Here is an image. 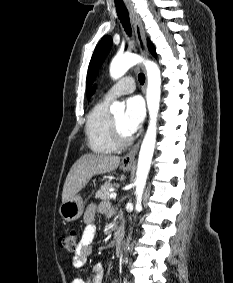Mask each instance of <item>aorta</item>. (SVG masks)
Returning <instances> with one entry per match:
<instances>
[{
  "mask_svg": "<svg viewBox=\"0 0 233 283\" xmlns=\"http://www.w3.org/2000/svg\"><path fill=\"white\" fill-rule=\"evenodd\" d=\"M143 63L147 71V107L149 111V124L144 136L138 158L137 172H136V205L135 209H141L142 195L146 185V180L149 174L151 161L154 153L156 135H157V116L160 105L161 95V76L160 69L156 63L150 60H144L137 54L125 53L113 58L110 64V76L113 79L122 77L128 69L136 64ZM125 105L121 102L115 101L110 107L112 113L124 111Z\"/></svg>",
  "mask_w": 233,
  "mask_h": 283,
  "instance_id": "1",
  "label": "aorta"
}]
</instances>
